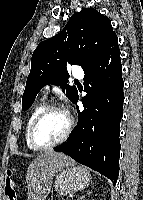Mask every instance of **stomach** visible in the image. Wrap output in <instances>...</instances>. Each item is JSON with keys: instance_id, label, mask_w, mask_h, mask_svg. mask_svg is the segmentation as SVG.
Wrapping results in <instances>:
<instances>
[{"instance_id": "stomach-1", "label": "stomach", "mask_w": 143, "mask_h": 200, "mask_svg": "<svg viewBox=\"0 0 143 200\" xmlns=\"http://www.w3.org/2000/svg\"><path fill=\"white\" fill-rule=\"evenodd\" d=\"M90 172L86 167L69 165L56 174L55 189L60 195H67L89 185Z\"/></svg>"}]
</instances>
